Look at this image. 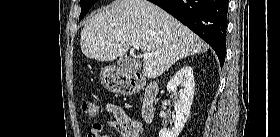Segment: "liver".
<instances>
[{
    "instance_id": "6515ba94",
    "label": "liver",
    "mask_w": 280,
    "mask_h": 137,
    "mask_svg": "<svg viewBox=\"0 0 280 137\" xmlns=\"http://www.w3.org/2000/svg\"><path fill=\"white\" fill-rule=\"evenodd\" d=\"M133 43L150 54L143 74L156 78L179 59L203 53L208 45L172 15L147 0H119L84 25L83 54L98 61L124 56Z\"/></svg>"
}]
</instances>
